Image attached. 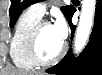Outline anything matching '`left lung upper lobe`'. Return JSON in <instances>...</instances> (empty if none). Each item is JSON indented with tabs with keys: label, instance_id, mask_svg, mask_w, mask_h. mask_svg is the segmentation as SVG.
Masks as SVG:
<instances>
[{
	"label": "left lung upper lobe",
	"instance_id": "left-lung-upper-lobe-1",
	"mask_svg": "<svg viewBox=\"0 0 102 75\" xmlns=\"http://www.w3.org/2000/svg\"><path fill=\"white\" fill-rule=\"evenodd\" d=\"M40 1L42 0H11V6L9 9L10 27L12 28L14 26L18 17L25 8ZM73 10L74 8L72 5L61 7V11L63 12L66 19L69 18Z\"/></svg>",
	"mask_w": 102,
	"mask_h": 75
}]
</instances>
